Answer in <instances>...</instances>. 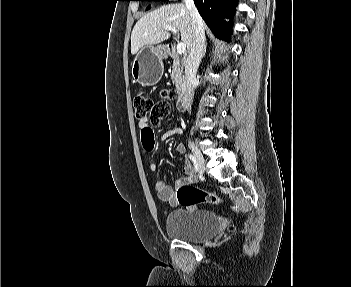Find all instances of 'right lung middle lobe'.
<instances>
[{
	"instance_id": "right-lung-middle-lobe-1",
	"label": "right lung middle lobe",
	"mask_w": 351,
	"mask_h": 287,
	"mask_svg": "<svg viewBox=\"0 0 351 287\" xmlns=\"http://www.w3.org/2000/svg\"><path fill=\"white\" fill-rule=\"evenodd\" d=\"M136 1H161V0H136ZM148 9H150V6H148Z\"/></svg>"
}]
</instances>
